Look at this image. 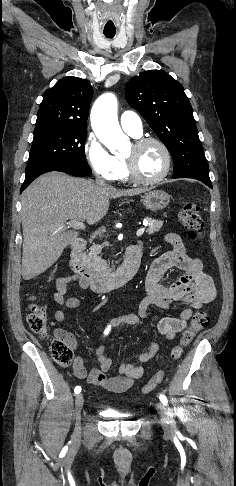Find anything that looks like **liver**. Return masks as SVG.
<instances>
[{
	"label": "liver",
	"mask_w": 236,
	"mask_h": 486,
	"mask_svg": "<svg viewBox=\"0 0 236 486\" xmlns=\"http://www.w3.org/2000/svg\"><path fill=\"white\" fill-rule=\"evenodd\" d=\"M145 191L102 187L92 180L61 172L37 178L22 194L23 279L35 278L59 259L65 247L79 235L75 228L69 230L70 223L95 224L107 214L110 198Z\"/></svg>",
	"instance_id": "6515ba94"
}]
</instances>
